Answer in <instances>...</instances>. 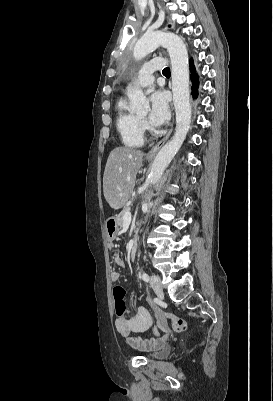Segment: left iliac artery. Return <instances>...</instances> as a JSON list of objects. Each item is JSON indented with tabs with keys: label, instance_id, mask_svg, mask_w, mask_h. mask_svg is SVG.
Wrapping results in <instances>:
<instances>
[{
	"label": "left iliac artery",
	"instance_id": "left-iliac-artery-1",
	"mask_svg": "<svg viewBox=\"0 0 273 401\" xmlns=\"http://www.w3.org/2000/svg\"><path fill=\"white\" fill-rule=\"evenodd\" d=\"M142 279H143L144 281L148 282V281H149V276H148V274L144 272V273L142 274Z\"/></svg>",
	"mask_w": 273,
	"mask_h": 401
}]
</instances>
